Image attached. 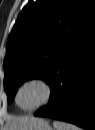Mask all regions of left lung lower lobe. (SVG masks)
<instances>
[{"instance_id": "1", "label": "left lung lower lobe", "mask_w": 95, "mask_h": 130, "mask_svg": "<svg viewBox=\"0 0 95 130\" xmlns=\"http://www.w3.org/2000/svg\"><path fill=\"white\" fill-rule=\"evenodd\" d=\"M50 86V101L35 116L95 129V13L66 47Z\"/></svg>"}]
</instances>
